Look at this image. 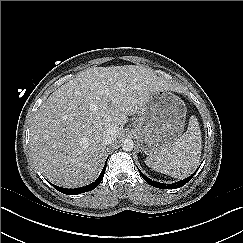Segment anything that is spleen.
Instances as JSON below:
<instances>
[{
  "label": "spleen",
  "mask_w": 243,
  "mask_h": 243,
  "mask_svg": "<svg viewBox=\"0 0 243 243\" xmlns=\"http://www.w3.org/2000/svg\"><path fill=\"white\" fill-rule=\"evenodd\" d=\"M201 130L192 116L186 133L157 154L149 155L145 163L154 170L175 178H185L197 167L201 156Z\"/></svg>",
  "instance_id": "spleen-1"
}]
</instances>
